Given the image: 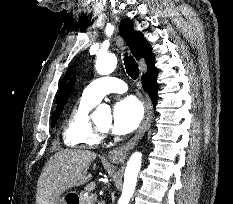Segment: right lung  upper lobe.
I'll use <instances>...</instances> for the list:
<instances>
[{"label": "right lung upper lobe", "instance_id": "right-lung-upper-lobe-1", "mask_svg": "<svg viewBox=\"0 0 233 204\" xmlns=\"http://www.w3.org/2000/svg\"><path fill=\"white\" fill-rule=\"evenodd\" d=\"M120 33L124 40L129 45L131 52L137 60L144 58L148 69L154 67V56L151 53V47L149 43L143 37L140 31H135L133 28V23L129 19H123L120 23ZM71 73V68L67 71L61 83L58 97Z\"/></svg>", "mask_w": 233, "mask_h": 204}]
</instances>
